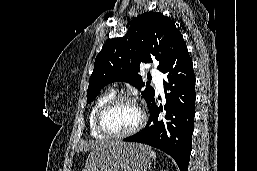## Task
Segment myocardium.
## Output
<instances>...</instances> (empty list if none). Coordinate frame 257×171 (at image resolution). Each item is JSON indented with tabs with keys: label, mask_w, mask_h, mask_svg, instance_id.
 <instances>
[{
	"label": "myocardium",
	"mask_w": 257,
	"mask_h": 171,
	"mask_svg": "<svg viewBox=\"0 0 257 171\" xmlns=\"http://www.w3.org/2000/svg\"><path fill=\"white\" fill-rule=\"evenodd\" d=\"M131 103L136 106L140 113V119L137 125L132 128L131 130L124 132V133H112L106 129L104 126V117L106 113L115 105L120 104V103ZM147 120L146 113L144 109L141 107V105L137 102V100L131 96L128 95H117L106 101L101 108L99 109L97 116H96V128L97 130L106 136L107 138H112V139H123L129 136H132L139 132L145 125Z\"/></svg>",
	"instance_id": "myocardium-1"
}]
</instances>
